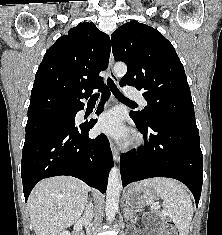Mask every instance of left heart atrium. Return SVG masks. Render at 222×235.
<instances>
[{
	"label": "left heart atrium",
	"instance_id": "left-heart-atrium-1",
	"mask_svg": "<svg viewBox=\"0 0 222 235\" xmlns=\"http://www.w3.org/2000/svg\"><path fill=\"white\" fill-rule=\"evenodd\" d=\"M97 126L100 131L120 140H125L129 136V131L123 124L122 115L116 109L102 113Z\"/></svg>",
	"mask_w": 222,
	"mask_h": 235
}]
</instances>
